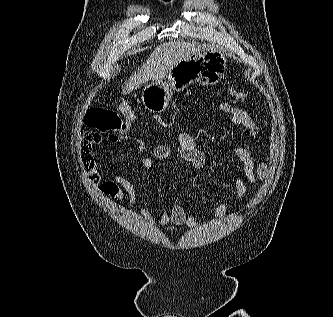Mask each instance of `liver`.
Masks as SVG:
<instances>
[{
  "label": "liver",
  "mask_w": 333,
  "mask_h": 317,
  "mask_svg": "<svg viewBox=\"0 0 333 317\" xmlns=\"http://www.w3.org/2000/svg\"><path fill=\"white\" fill-rule=\"evenodd\" d=\"M201 48L199 43L179 40L157 46L141 69L129 79L123 94L131 93L146 81L164 78L181 61L199 55Z\"/></svg>",
  "instance_id": "obj_1"
}]
</instances>
